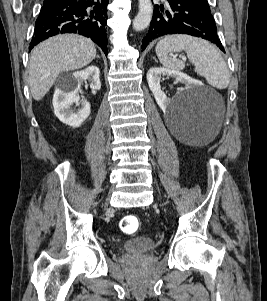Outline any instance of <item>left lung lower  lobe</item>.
<instances>
[{"label":"left lung lower lobe","instance_id":"1","mask_svg":"<svg viewBox=\"0 0 267 301\" xmlns=\"http://www.w3.org/2000/svg\"><path fill=\"white\" fill-rule=\"evenodd\" d=\"M167 8L155 5L149 30L142 41V50L155 38L169 34H188L215 43L223 52L210 9L195 0H166Z\"/></svg>","mask_w":267,"mask_h":301}]
</instances>
